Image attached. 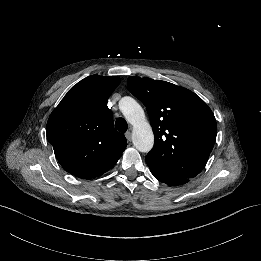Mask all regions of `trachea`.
I'll list each match as a JSON object with an SVG mask.
<instances>
[{"label": "trachea", "instance_id": "1", "mask_svg": "<svg viewBox=\"0 0 261 261\" xmlns=\"http://www.w3.org/2000/svg\"><path fill=\"white\" fill-rule=\"evenodd\" d=\"M115 128L121 133H125L128 129V124L124 118H118L115 122Z\"/></svg>", "mask_w": 261, "mask_h": 261}]
</instances>
